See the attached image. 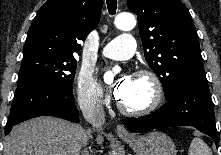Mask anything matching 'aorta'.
<instances>
[{
    "label": "aorta",
    "instance_id": "obj_1",
    "mask_svg": "<svg viewBox=\"0 0 221 155\" xmlns=\"http://www.w3.org/2000/svg\"><path fill=\"white\" fill-rule=\"evenodd\" d=\"M115 26L123 31H130L132 30L135 25H136V20L135 17L131 14H119L116 18H115ZM116 68L113 69L112 71H107L104 74V81L105 82H111L114 78V72H116Z\"/></svg>",
    "mask_w": 221,
    "mask_h": 155
}]
</instances>
